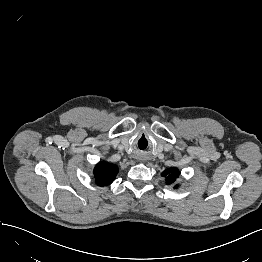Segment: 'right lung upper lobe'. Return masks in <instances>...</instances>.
I'll use <instances>...</instances> for the list:
<instances>
[{
    "label": "right lung upper lobe",
    "mask_w": 262,
    "mask_h": 262,
    "mask_svg": "<svg viewBox=\"0 0 262 262\" xmlns=\"http://www.w3.org/2000/svg\"><path fill=\"white\" fill-rule=\"evenodd\" d=\"M118 173V167L111 163L100 162L94 169L96 183L99 186L109 185Z\"/></svg>",
    "instance_id": "right-lung-upper-lobe-1"
}]
</instances>
